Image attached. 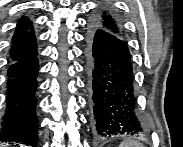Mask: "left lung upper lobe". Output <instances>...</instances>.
Listing matches in <instances>:
<instances>
[{"label": "left lung upper lobe", "instance_id": "obj_1", "mask_svg": "<svg viewBox=\"0 0 183 147\" xmlns=\"http://www.w3.org/2000/svg\"><path fill=\"white\" fill-rule=\"evenodd\" d=\"M93 25L97 28L104 29L112 34L123 38L121 27L114 16L104 12L101 16L96 17L93 21Z\"/></svg>", "mask_w": 183, "mask_h": 147}]
</instances>
